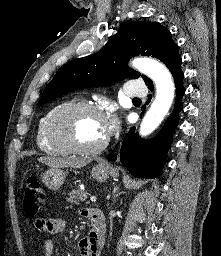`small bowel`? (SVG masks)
Here are the masks:
<instances>
[{"label": "small bowel", "instance_id": "obj_1", "mask_svg": "<svg viewBox=\"0 0 221 256\" xmlns=\"http://www.w3.org/2000/svg\"><path fill=\"white\" fill-rule=\"evenodd\" d=\"M94 209H83L81 214L90 220ZM37 230L51 234H60L66 228V221L62 217H52L50 219H38L35 223ZM92 229V228H91ZM103 242L96 241L92 237V232L79 241V251L82 256H100ZM54 244L51 240L43 243V256H53Z\"/></svg>", "mask_w": 221, "mask_h": 256}]
</instances>
